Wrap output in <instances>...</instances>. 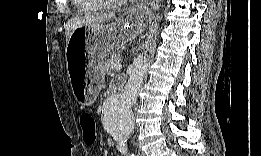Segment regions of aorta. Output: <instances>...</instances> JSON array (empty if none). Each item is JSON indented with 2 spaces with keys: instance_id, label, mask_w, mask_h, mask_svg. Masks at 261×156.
<instances>
[{
  "instance_id": "obj_1",
  "label": "aorta",
  "mask_w": 261,
  "mask_h": 156,
  "mask_svg": "<svg viewBox=\"0 0 261 156\" xmlns=\"http://www.w3.org/2000/svg\"><path fill=\"white\" fill-rule=\"evenodd\" d=\"M158 0L151 1L155 10L159 6ZM148 57L139 54L133 61V67L127 84L120 94L109 96L102 107V124L106 133L114 140H127L134 131V116L132 106L137 101L138 92L147 74Z\"/></svg>"
}]
</instances>
